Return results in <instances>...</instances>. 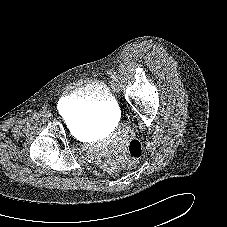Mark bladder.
Returning a JSON list of instances; mask_svg holds the SVG:
<instances>
[{
    "label": "bladder",
    "instance_id": "31cf9c89",
    "mask_svg": "<svg viewBox=\"0 0 227 227\" xmlns=\"http://www.w3.org/2000/svg\"><path fill=\"white\" fill-rule=\"evenodd\" d=\"M61 107L78 132L107 126L118 112V104L102 81L87 83L67 94Z\"/></svg>",
    "mask_w": 227,
    "mask_h": 227
}]
</instances>
